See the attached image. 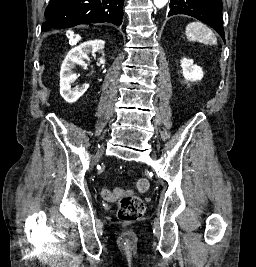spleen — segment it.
Masks as SVG:
<instances>
[{
    "label": "spleen",
    "mask_w": 256,
    "mask_h": 267,
    "mask_svg": "<svg viewBox=\"0 0 256 267\" xmlns=\"http://www.w3.org/2000/svg\"><path fill=\"white\" fill-rule=\"evenodd\" d=\"M185 32L188 42H200V44H211V46H216L217 44L215 34H213L208 26L201 24V22L187 24Z\"/></svg>",
    "instance_id": "1"
}]
</instances>
